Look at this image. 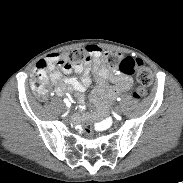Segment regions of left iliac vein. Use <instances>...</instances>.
<instances>
[{"mask_svg": "<svg viewBox=\"0 0 183 183\" xmlns=\"http://www.w3.org/2000/svg\"><path fill=\"white\" fill-rule=\"evenodd\" d=\"M115 112L120 115L122 113V108L120 106H116Z\"/></svg>", "mask_w": 183, "mask_h": 183, "instance_id": "obj_1", "label": "left iliac vein"}]
</instances>
